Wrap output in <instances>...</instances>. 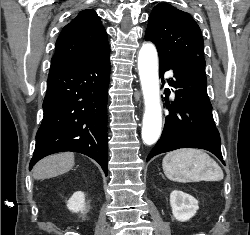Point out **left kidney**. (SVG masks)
<instances>
[{
  "label": "left kidney",
  "instance_id": "1",
  "mask_svg": "<svg viewBox=\"0 0 250 235\" xmlns=\"http://www.w3.org/2000/svg\"><path fill=\"white\" fill-rule=\"evenodd\" d=\"M170 205L174 218L181 222L191 219L199 209L198 201L193 196L180 190L171 192Z\"/></svg>",
  "mask_w": 250,
  "mask_h": 235
}]
</instances>
